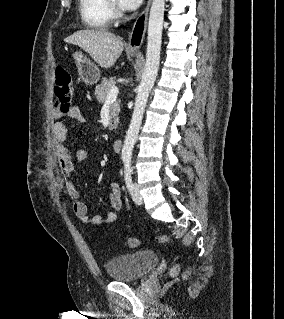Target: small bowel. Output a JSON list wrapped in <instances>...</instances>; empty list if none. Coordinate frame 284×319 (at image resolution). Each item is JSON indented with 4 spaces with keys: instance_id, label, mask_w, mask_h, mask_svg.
<instances>
[{
    "instance_id": "1",
    "label": "small bowel",
    "mask_w": 284,
    "mask_h": 319,
    "mask_svg": "<svg viewBox=\"0 0 284 319\" xmlns=\"http://www.w3.org/2000/svg\"><path fill=\"white\" fill-rule=\"evenodd\" d=\"M55 122L52 127L53 137L55 142L56 156L58 159L59 167L62 173L66 176V190L71 198L74 199L72 208L74 214L84 224L102 225L113 223L117 219L118 211L122 207V192L117 184L110 185V206L111 210L104 215H90L86 204L79 199V190L71 178L74 171L73 154L68 148L67 141V126L60 121L61 113L55 110L54 113ZM68 116L78 122H84L85 117L78 107H73L69 112ZM89 152L86 148H79L75 157L78 161H85L88 158Z\"/></svg>"
}]
</instances>
